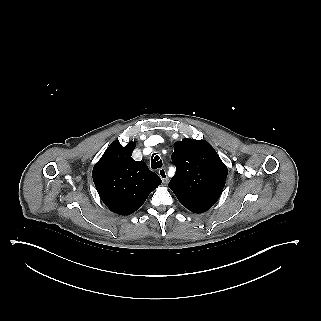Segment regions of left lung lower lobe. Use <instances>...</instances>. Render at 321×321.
Returning a JSON list of instances; mask_svg holds the SVG:
<instances>
[{
    "label": "left lung lower lobe",
    "mask_w": 321,
    "mask_h": 321,
    "mask_svg": "<svg viewBox=\"0 0 321 321\" xmlns=\"http://www.w3.org/2000/svg\"><path fill=\"white\" fill-rule=\"evenodd\" d=\"M221 193L201 195H179L180 203L194 213H203L211 208L218 200Z\"/></svg>",
    "instance_id": "obj_1"
}]
</instances>
